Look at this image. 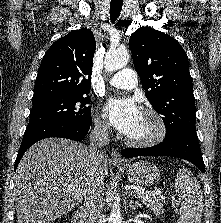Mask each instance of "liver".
Listing matches in <instances>:
<instances>
[{
    "instance_id": "liver-1",
    "label": "liver",
    "mask_w": 221,
    "mask_h": 223,
    "mask_svg": "<svg viewBox=\"0 0 221 223\" xmlns=\"http://www.w3.org/2000/svg\"><path fill=\"white\" fill-rule=\"evenodd\" d=\"M89 168L88 147L81 143L49 138L31 146L14 177L18 223H50L77 207ZM100 173L103 178L108 174L105 156Z\"/></svg>"
}]
</instances>
